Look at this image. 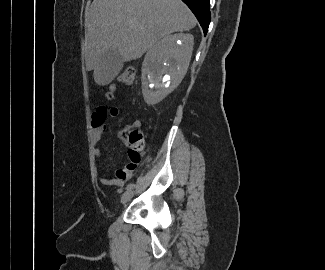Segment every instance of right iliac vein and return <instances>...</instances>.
<instances>
[{
	"label": "right iliac vein",
	"mask_w": 325,
	"mask_h": 270,
	"mask_svg": "<svg viewBox=\"0 0 325 270\" xmlns=\"http://www.w3.org/2000/svg\"><path fill=\"white\" fill-rule=\"evenodd\" d=\"M133 194V190H127L126 192H124L121 196V203H127L133 197Z\"/></svg>",
	"instance_id": "obj_1"
}]
</instances>
